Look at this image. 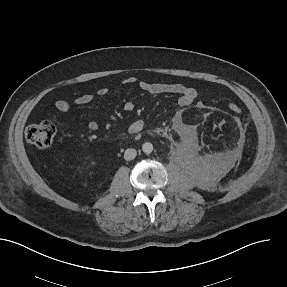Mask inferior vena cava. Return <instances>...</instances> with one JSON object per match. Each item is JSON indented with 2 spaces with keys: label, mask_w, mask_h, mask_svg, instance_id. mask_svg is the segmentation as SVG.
I'll use <instances>...</instances> for the list:
<instances>
[{
  "label": "inferior vena cava",
  "mask_w": 287,
  "mask_h": 287,
  "mask_svg": "<svg viewBox=\"0 0 287 287\" xmlns=\"http://www.w3.org/2000/svg\"><path fill=\"white\" fill-rule=\"evenodd\" d=\"M137 155V151L133 148L126 149L124 159L127 161L133 160Z\"/></svg>",
  "instance_id": "1"
}]
</instances>
